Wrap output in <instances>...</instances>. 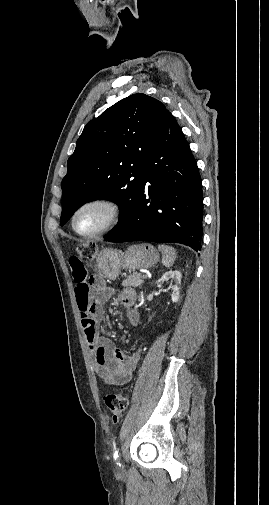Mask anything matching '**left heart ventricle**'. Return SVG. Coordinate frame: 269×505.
Returning a JSON list of instances; mask_svg holds the SVG:
<instances>
[{"instance_id":"left-heart-ventricle-1","label":"left heart ventricle","mask_w":269,"mask_h":505,"mask_svg":"<svg viewBox=\"0 0 269 505\" xmlns=\"http://www.w3.org/2000/svg\"><path fill=\"white\" fill-rule=\"evenodd\" d=\"M111 212L104 205H91L81 210L75 220V227L81 233H92L104 226Z\"/></svg>"}]
</instances>
